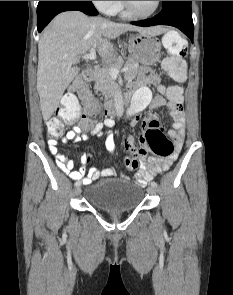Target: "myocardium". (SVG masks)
<instances>
[{"label":"myocardium","instance_id":"1","mask_svg":"<svg viewBox=\"0 0 233 295\" xmlns=\"http://www.w3.org/2000/svg\"><path fill=\"white\" fill-rule=\"evenodd\" d=\"M121 2H122V5H123L125 11L127 12V14L129 16L134 17V18H139V19H146V18L153 16L159 10V7L161 5V1H156L155 7L151 12H149L147 14H139L136 11H134V9L132 8V6L130 4V1H121Z\"/></svg>","mask_w":233,"mask_h":295}]
</instances>
